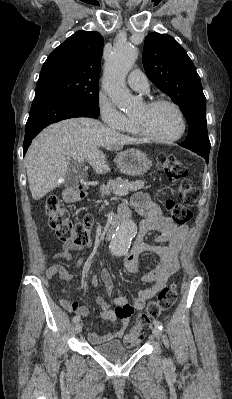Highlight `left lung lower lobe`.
I'll return each mask as SVG.
<instances>
[{
    "mask_svg": "<svg viewBox=\"0 0 232 399\" xmlns=\"http://www.w3.org/2000/svg\"><path fill=\"white\" fill-rule=\"evenodd\" d=\"M198 155L202 156L205 160L206 163L208 164L209 161V154H205V153H197Z\"/></svg>",
    "mask_w": 232,
    "mask_h": 399,
    "instance_id": "0a47b994",
    "label": "left lung lower lobe"
}]
</instances>
